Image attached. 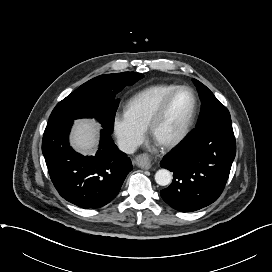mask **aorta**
I'll return each mask as SVG.
<instances>
[{
	"mask_svg": "<svg viewBox=\"0 0 272 272\" xmlns=\"http://www.w3.org/2000/svg\"><path fill=\"white\" fill-rule=\"evenodd\" d=\"M155 181L160 186H166L172 181V174L167 169H160L155 174Z\"/></svg>",
	"mask_w": 272,
	"mask_h": 272,
	"instance_id": "aorta-1",
	"label": "aorta"
}]
</instances>
